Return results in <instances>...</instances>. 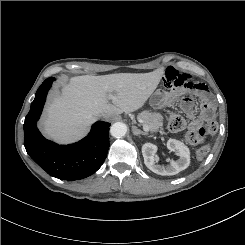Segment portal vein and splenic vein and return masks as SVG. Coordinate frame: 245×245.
<instances>
[{
    "instance_id": "obj_1",
    "label": "portal vein and splenic vein",
    "mask_w": 245,
    "mask_h": 245,
    "mask_svg": "<svg viewBox=\"0 0 245 245\" xmlns=\"http://www.w3.org/2000/svg\"><path fill=\"white\" fill-rule=\"evenodd\" d=\"M139 122L140 123H143L140 119H139ZM143 125V130L145 131V132H149V127L147 126V125H145V124H142Z\"/></svg>"
}]
</instances>
